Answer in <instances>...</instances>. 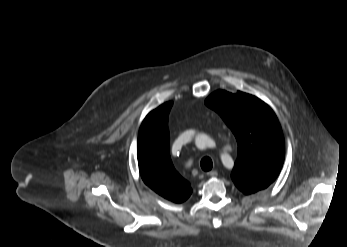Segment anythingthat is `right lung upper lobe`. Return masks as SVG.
<instances>
[{
  "mask_svg": "<svg viewBox=\"0 0 347 247\" xmlns=\"http://www.w3.org/2000/svg\"><path fill=\"white\" fill-rule=\"evenodd\" d=\"M172 102L151 111L138 137L137 157L144 183L162 197L182 203L192 193L191 186L175 170L169 155L168 114Z\"/></svg>",
  "mask_w": 347,
  "mask_h": 247,
  "instance_id": "right-lung-upper-lobe-1",
  "label": "right lung upper lobe"
}]
</instances>
